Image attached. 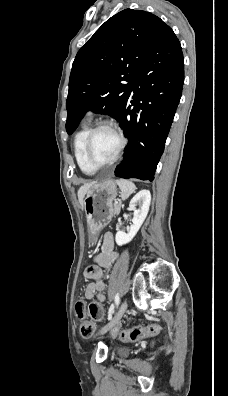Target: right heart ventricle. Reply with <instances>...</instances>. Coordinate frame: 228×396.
Masks as SVG:
<instances>
[{"mask_svg": "<svg viewBox=\"0 0 228 396\" xmlns=\"http://www.w3.org/2000/svg\"><path fill=\"white\" fill-rule=\"evenodd\" d=\"M91 129L90 121H87L82 128L75 134L73 139V149L77 164L80 170L85 174H92L95 172L90 168L84 158L83 149L86 137Z\"/></svg>", "mask_w": 228, "mask_h": 396, "instance_id": "1", "label": "right heart ventricle"}]
</instances>
